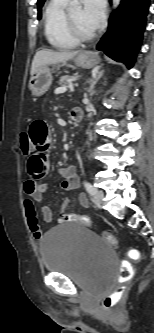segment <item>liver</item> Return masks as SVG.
Segmentation results:
<instances>
[{
    "mask_svg": "<svg viewBox=\"0 0 154 333\" xmlns=\"http://www.w3.org/2000/svg\"><path fill=\"white\" fill-rule=\"evenodd\" d=\"M78 54V51H52L40 50L36 52L31 66V75L40 66L64 63Z\"/></svg>",
    "mask_w": 154,
    "mask_h": 333,
    "instance_id": "1",
    "label": "liver"
}]
</instances>
